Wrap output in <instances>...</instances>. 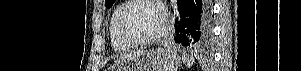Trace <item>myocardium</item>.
<instances>
[{
  "instance_id": "obj_1",
  "label": "myocardium",
  "mask_w": 301,
  "mask_h": 71,
  "mask_svg": "<svg viewBox=\"0 0 301 71\" xmlns=\"http://www.w3.org/2000/svg\"><path fill=\"white\" fill-rule=\"evenodd\" d=\"M149 3L153 6H155L156 8H158V10L161 13L162 16V23L160 28L158 29V31L147 38L144 39H140V40H135L129 37V35L127 34L126 30H125V19H126V15L128 13V11L136 4L139 3ZM168 26V16L166 11L163 9L162 5L160 4L159 1H154V0H130L128 1L125 6L122 8L119 17H118V23H117V30H118V34L120 36V38L129 46L131 47H139V46H146V45H150L153 44L157 41H159L161 39V37L164 35L166 29Z\"/></svg>"
}]
</instances>
